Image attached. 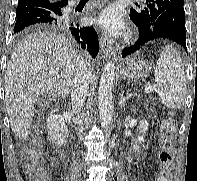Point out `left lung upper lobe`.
I'll list each match as a JSON object with an SVG mask.
<instances>
[{"mask_svg":"<svg viewBox=\"0 0 197 181\" xmlns=\"http://www.w3.org/2000/svg\"><path fill=\"white\" fill-rule=\"evenodd\" d=\"M145 3L136 4V7L130 9V19L143 28H149L166 10L184 6L183 0H146Z\"/></svg>","mask_w":197,"mask_h":181,"instance_id":"1","label":"left lung upper lobe"}]
</instances>
